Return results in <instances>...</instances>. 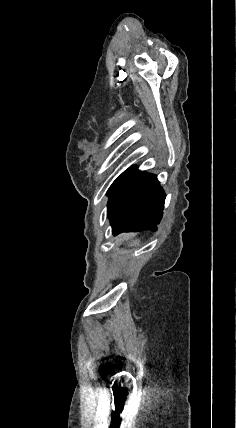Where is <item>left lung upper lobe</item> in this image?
<instances>
[{"label": "left lung upper lobe", "mask_w": 236, "mask_h": 428, "mask_svg": "<svg viewBox=\"0 0 236 428\" xmlns=\"http://www.w3.org/2000/svg\"><path fill=\"white\" fill-rule=\"evenodd\" d=\"M125 173H122L113 183H112V185H111V187L109 188V190L110 189H112L115 185H116V183L121 179V177L124 175Z\"/></svg>", "instance_id": "left-lung-upper-lobe-1"}]
</instances>
